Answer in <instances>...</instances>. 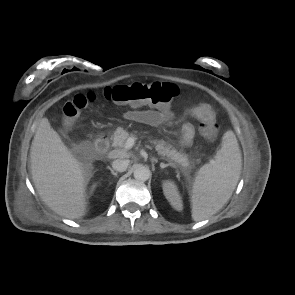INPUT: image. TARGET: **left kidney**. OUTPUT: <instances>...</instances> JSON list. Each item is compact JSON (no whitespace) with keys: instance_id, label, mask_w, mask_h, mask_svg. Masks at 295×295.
Instances as JSON below:
<instances>
[{"instance_id":"left-kidney-1","label":"left kidney","mask_w":295,"mask_h":295,"mask_svg":"<svg viewBox=\"0 0 295 295\" xmlns=\"http://www.w3.org/2000/svg\"><path fill=\"white\" fill-rule=\"evenodd\" d=\"M163 192L166 199L170 202L173 208H175L178 211H181L183 209L181 196L178 192L177 186L173 181H164Z\"/></svg>"}]
</instances>
